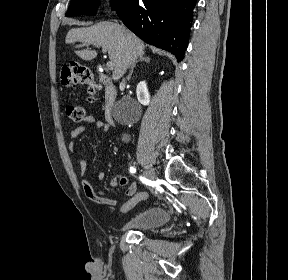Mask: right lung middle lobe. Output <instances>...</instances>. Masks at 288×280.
Instances as JSON below:
<instances>
[{
    "mask_svg": "<svg viewBox=\"0 0 288 280\" xmlns=\"http://www.w3.org/2000/svg\"><path fill=\"white\" fill-rule=\"evenodd\" d=\"M125 0H111V8L114 10L121 6ZM99 0H71L66 16L95 15Z\"/></svg>",
    "mask_w": 288,
    "mask_h": 280,
    "instance_id": "right-lung-middle-lobe-1",
    "label": "right lung middle lobe"
}]
</instances>
